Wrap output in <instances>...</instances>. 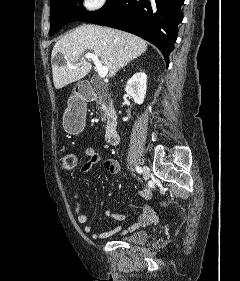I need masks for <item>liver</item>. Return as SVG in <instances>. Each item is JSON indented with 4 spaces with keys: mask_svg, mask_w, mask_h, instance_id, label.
<instances>
[{
    "mask_svg": "<svg viewBox=\"0 0 240 281\" xmlns=\"http://www.w3.org/2000/svg\"><path fill=\"white\" fill-rule=\"evenodd\" d=\"M148 43L130 33L84 24L63 36L56 42L51 54L53 83L61 89L84 78L92 69L91 63L83 55L92 51L108 68L109 77L141 56L147 50ZM60 53L65 64L59 65L55 60ZM76 66L75 68L70 67Z\"/></svg>",
    "mask_w": 240,
    "mask_h": 281,
    "instance_id": "6515ba94",
    "label": "liver"
}]
</instances>
